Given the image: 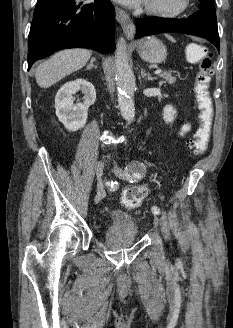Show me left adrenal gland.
I'll return each mask as SVG.
<instances>
[{
	"mask_svg": "<svg viewBox=\"0 0 233 328\" xmlns=\"http://www.w3.org/2000/svg\"><path fill=\"white\" fill-rule=\"evenodd\" d=\"M141 76H142V78H144L145 80H148V81H153L156 79V77H151L150 74L145 73L144 69H141Z\"/></svg>",
	"mask_w": 233,
	"mask_h": 328,
	"instance_id": "a2214340",
	"label": "left adrenal gland"
}]
</instances>
